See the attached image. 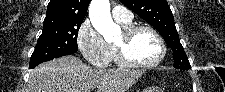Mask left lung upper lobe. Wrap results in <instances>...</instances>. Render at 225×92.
<instances>
[{"label": "left lung upper lobe", "mask_w": 225, "mask_h": 92, "mask_svg": "<svg viewBox=\"0 0 225 92\" xmlns=\"http://www.w3.org/2000/svg\"><path fill=\"white\" fill-rule=\"evenodd\" d=\"M126 7L151 24L173 50L174 67L190 69V63L180 43L174 17L166 0H120Z\"/></svg>", "instance_id": "5c2ea615"}]
</instances>
